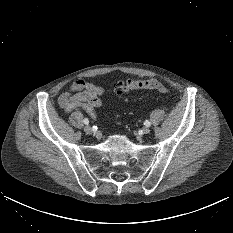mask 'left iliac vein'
Wrapping results in <instances>:
<instances>
[{"label":"left iliac vein","instance_id":"4c4485c4","mask_svg":"<svg viewBox=\"0 0 233 233\" xmlns=\"http://www.w3.org/2000/svg\"><path fill=\"white\" fill-rule=\"evenodd\" d=\"M143 133H144V134L150 133L149 127H144V128H143Z\"/></svg>","mask_w":233,"mask_h":233}]
</instances>
